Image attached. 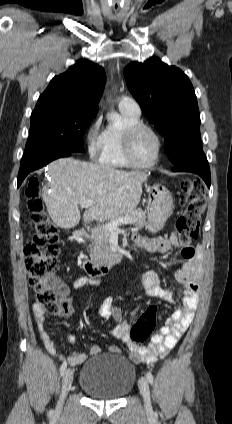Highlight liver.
Returning <instances> with one entry per match:
<instances>
[{
  "instance_id": "1",
  "label": "liver",
  "mask_w": 232,
  "mask_h": 424,
  "mask_svg": "<svg viewBox=\"0 0 232 424\" xmlns=\"http://www.w3.org/2000/svg\"><path fill=\"white\" fill-rule=\"evenodd\" d=\"M47 169L51 181L49 189L43 188L42 198L52 221L64 229L79 223L82 201L95 202L83 214L85 223L104 222L133 211L149 176L144 171H121L74 158L57 159Z\"/></svg>"
}]
</instances>
